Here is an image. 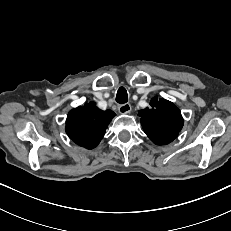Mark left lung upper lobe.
<instances>
[{
    "label": "left lung upper lobe",
    "instance_id": "5c2ea615",
    "mask_svg": "<svg viewBox=\"0 0 231 231\" xmlns=\"http://www.w3.org/2000/svg\"><path fill=\"white\" fill-rule=\"evenodd\" d=\"M144 132L156 145L172 142L183 126L180 110L170 101L154 97L150 107L140 110Z\"/></svg>",
    "mask_w": 231,
    "mask_h": 231
}]
</instances>
